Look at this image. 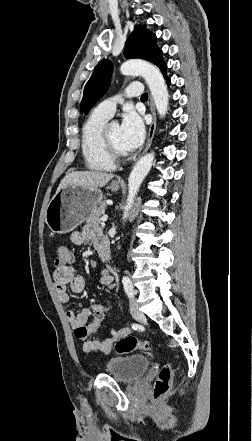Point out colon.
Returning a JSON list of instances; mask_svg holds the SVG:
<instances>
[{"instance_id": "colon-1", "label": "colon", "mask_w": 252, "mask_h": 441, "mask_svg": "<svg viewBox=\"0 0 252 441\" xmlns=\"http://www.w3.org/2000/svg\"><path fill=\"white\" fill-rule=\"evenodd\" d=\"M72 261V253L66 245H59L56 248L55 266L63 267L70 264ZM108 310H101L94 312L93 320L90 324L80 327L75 331V335L81 342L88 339L91 334L100 329L105 320ZM151 345L148 341H141L133 336H126L119 340L116 344V351L120 354L129 353L135 350L148 351ZM173 376V368L170 364H165L156 379L154 384L153 395L155 399L165 396L171 387Z\"/></svg>"}]
</instances>
